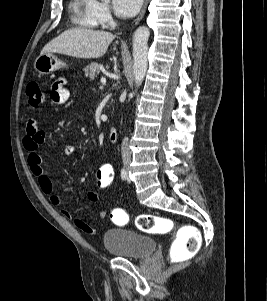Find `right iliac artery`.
<instances>
[{"label": "right iliac artery", "mask_w": 267, "mask_h": 301, "mask_svg": "<svg viewBox=\"0 0 267 301\" xmlns=\"http://www.w3.org/2000/svg\"><path fill=\"white\" fill-rule=\"evenodd\" d=\"M127 177H128L127 171H126V169L123 168L121 170V178H122V180H126Z\"/></svg>", "instance_id": "right-iliac-artery-1"}]
</instances>
